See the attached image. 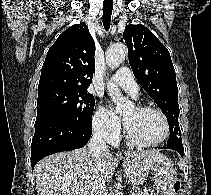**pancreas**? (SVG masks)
<instances>
[{"instance_id": "obj_1", "label": "pancreas", "mask_w": 211, "mask_h": 195, "mask_svg": "<svg viewBox=\"0 0 211 195\" xmlns=\"http://www.w3.org/2000/svg\"><path fill=\"white\" fill-rule=\"evenodd\" d=\"M132 195H149V191L147 189L144 190H140V189H136Z\"/></svg>"}]
</instances>
